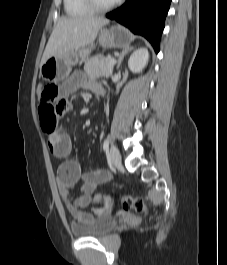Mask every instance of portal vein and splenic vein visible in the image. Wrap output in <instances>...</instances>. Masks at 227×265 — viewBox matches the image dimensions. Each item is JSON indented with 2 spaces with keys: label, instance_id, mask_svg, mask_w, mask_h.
<instances>
[{
  "label": "portal vein and splenic vein",
  "instance_id": "18ae733b",
  "mask_svg": "<svg viewBox=\"0 0 227 265\" xmlns=\"http://www.w3.org/2000/svg\"><path fill=\"white\" fill-rule=\"evenodd\" d=\"M116 63V60L115 59H111V61L109 62L108 66H112Z\"/></svg>",
  "mask_w": 227,
  "mask_h": 265
}]
</instances>
